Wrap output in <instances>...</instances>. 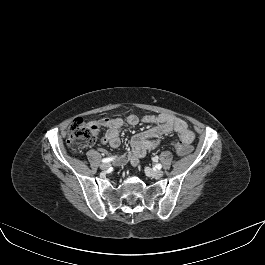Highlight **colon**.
Segmentation results:
<instances>
[{
	"mask_svg": "<svg viewBox=\"0 0 265 265\" xmlns=\"http://www.w3.org/2000/svg\"><path fill=\"white\" fill-rule=\"evenodd\" d=\"M98 129L91 123H86L81 118L72 121L68 131V146L70 150L78 154L86 147L91 146L97 140ZM176 151L180 155H187L192 151V147L181 140L174 144Z\"/></svg>",
	"mask_w": 265,
	"mask_h": 265,
	"instance_id": "1",
	"label": "colon"
}]
</instances>
